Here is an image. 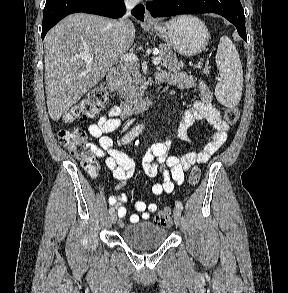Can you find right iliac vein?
I'll return each instance as SVG.
<instances>
[{
    "instance_id": "1",
    "label": "right iliac vein",
    "mask_w": 288,
    "mask_h": 293,
    "mask_svg": "<svg viewBox=\"0 0 288 293\" xmlns=\"http://www.w3.org/2000/svg\"><path fill=\"white\" fill-rule=\"evenodd\" d=\"M116 219H117L116 213H112V214L110 215V220H111V222H112L113 224L116 222Z\"/></svg>"
}]
</instances>
